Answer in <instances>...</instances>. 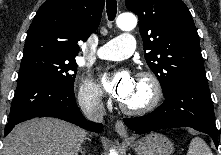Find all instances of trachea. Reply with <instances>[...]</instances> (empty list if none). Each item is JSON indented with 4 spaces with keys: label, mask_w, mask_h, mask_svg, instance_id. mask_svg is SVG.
I'll use <instances>...</instances> for the list:
<instances>
[{
    "label": "trachea",
    "mask_w": 221,
    "mask_h": 155,
    "mask_svg": "<svg viewBox=\"0 0 221 155\" xmlns=\"http://www.w3.org/2000/svg\"><path fill=\"white\" fill-rule=\"evenodd\" d=\"M107 15L110 21L114 20L117 13V1L106 0Z\"/></svg>",
    "instance_id": "3493384b"
}]
</instances>
